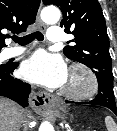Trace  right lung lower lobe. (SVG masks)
Returning <instances> with one entry per match:
<instances>
[{
	"label": "right lung lower lobe",
	"instance_id": "98d812e1",
	"mask_svg": "<svg viewBox=\"0 0 117 131\" xmlns=\"http://www.w3.org/2000/svg\"><path fill=\"white\" fill-rule=\"evenodd\" d=\"M17 66L18 63L0 65V95L16 101L23 107H27L31 88L28 83H24L11 75Z\"/></svg>",
	"mask_w": 117,
	"mask_h": 131
}]
</instances>
